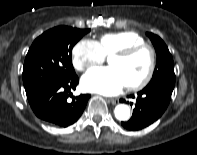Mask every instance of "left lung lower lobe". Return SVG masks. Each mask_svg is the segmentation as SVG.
Masks as SVG:
<instances>
[{
    "instance_id": "0a47b994",
    "label": "left lung lower lobe",
    "mask_w": 197,
    "mask_h": 155,
    "mask_svg": "<svg viewBox=\"0 0 197 155\" xmlns=\"http://www.w3.org/2000/svg\"><path fill=\"white\" fill-rule=\"evenodd\" d=\"M172 91L165 88H144L138 92L131 119L121 124L129 130H140L155 122L166 110ZM134 98V95L130 96ZM124 100H120L123 102Z\"/></svg>"
}]
</instances>
